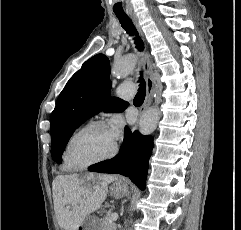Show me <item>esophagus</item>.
<instances>
[{"instance_id": "34e87169", "label": "esophagus", "mask_w": 241, "mask_h": 230, "mask_svg": "<svg viewBox=\"0 0 241 230\" xmlns=\"http://www.w3.org/2000/svg\"><path fill=\"white\" fill-rule=\"evenodd\" d=\"M130 18L132 19L135 27L137 28L138 32L140 33L141 36H143V32L141 29V26L138 22V18L135 14L131 13ZM143 72H144V79L146 82V96L143 104L141 105L139 109V117L142 116L144 111L151 105L152 100H153V95L155 91V85L156 82L153 79V67H152V62H151V55L147 53L145 55V59L143 62Z\"/></svg>"}]
</instances>
